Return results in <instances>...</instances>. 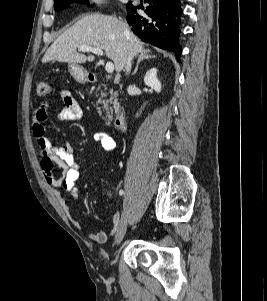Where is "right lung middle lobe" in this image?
I'll list each match as a JSON object with an SVG mask.
<instances>
[{
	"mask_svg": "<svg viewBox=\"0 0 267 301\" xmlns=\"http://www.w3.org/2000/svg\"><path fill=\"white\" fill-rule=\"evenodd\" d=\"M73 2L89 4L88 0H55L54 9L56 11H60V10L64 9L65 7L69 6Z\"/></svg>",
	"mask_w": 267,
	"mask_h": 301,
	"instance_id": "1",
	"label": "right lung middle lobe"
}]
</instances>
